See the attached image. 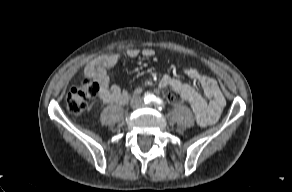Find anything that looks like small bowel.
Instances as JSON below:
<instances>
[{
	"label": "small bowel",
	"mask_w": 292,
	"mask_h": 192,
	"mask_svg": "<svg viewBox=\"0 0 292 192\" xmlns=\"http://www.w3.org/2000/svg\"><path fill=\"white\" fill-rule=\"evenodd\" d=\"M126 54L130 58H135L139 55L150 58L154 55V50L151 48H130ZM118 60L119 54H112L91 63L85 69V76L87 78L95 79L100 83L101 90L99 98L104 104L122 105L129 99L128 90L122 89L118 85L111 84L110 82L108 73L116 66ZM183 72L187 78L193 82H197L201 86L208 101L203 99L191 84L170 76H164L161 79L160 87L164 91L175 92L182 100L188 102L199 125L208 126L215 123L225 106V98L216 80L192 66L185 67Z\"/></svg>",
	"instance_id": "1"
}]
</instances>
